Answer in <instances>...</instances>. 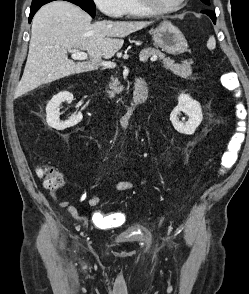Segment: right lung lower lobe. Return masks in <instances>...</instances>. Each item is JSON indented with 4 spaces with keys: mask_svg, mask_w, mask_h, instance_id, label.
Listing matches in <instances>:
<instances>
[{
    "mask_svg": "<svg viewBox=\"0 0 249 294\" xmlns=\"http://www.w3.org/2000/svg\"><path fill=\"white\" fill-rule=\"evenodd\" d=\"M42 5H38L35 7H31V11H30V16H29V23L31 22L34 14L37 12V10L41 7Z\"/></svg>",
    "mask_w": 249,
    "mask_h": 294,
    "instance_id": "98d812e1",
    "label": "right lung lower lobe"
}]
</instances>
